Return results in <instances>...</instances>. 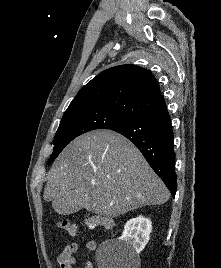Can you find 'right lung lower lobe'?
Returning a JSON list of instances; mask_svg holds the SVG:
<instances>
[{"mask_svg": "<svg viewBox=\"0 0 221 268\" xmlns=\"http://www.w3.org/2000/svg\"><path fill=\"white\" fill-rule=\"evenodd\" d=\"M109 129L122 134L137 146L174 197L177 188L174 137L167 108L123 121Z\"/></svg>", "mask_w": 221, "mask_h": 268, "instance_id": "obj_1", "label": "right lung lower lobe"}]
</instances>
